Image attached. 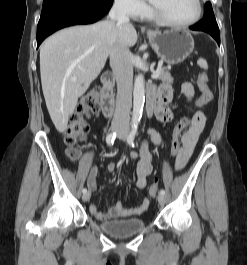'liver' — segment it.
<instances>
[{
    "mask_svg": "<svg viewBox=\"0 0 247 265\" xmlns=\"http://www.w3.org/2000/svg\"><path fill=\"white\" fill-rule=\"evenodd\" d=\"M132 25L104 20L58 31L42 44L40 74L46 106L56 129L63 133L78 98L105 66L113 45L137 42Z\"/></svg>",
    "mask_w": 247,
    "mask_h": 265,
    "instance_id": "6515ba94",
    "label": "liver"
}]
</instances>
